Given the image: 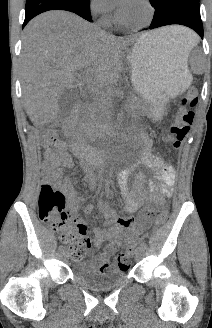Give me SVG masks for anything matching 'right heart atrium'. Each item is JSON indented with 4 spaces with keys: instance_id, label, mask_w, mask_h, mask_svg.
<instances>
[{
    "instance_id": "1",
    "label": "right heart atrium",
    "mask_w": 212,
    "mask_h": 328,
    "mask_svg": "<svg viewBox=\"0 0 212 328\" xmlns=\"http://www.w3.org/2000/svg\"><path fill=\"white\" fill-rule=\"evenodd\" d=\"M90 9L94 14L98 15L102 21H106L112 12V4L109 0H91Z\"/></svg>"
}]
</instances>
